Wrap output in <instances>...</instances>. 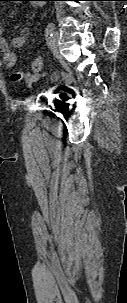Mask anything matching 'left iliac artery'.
Returning <instances> with one entry per match:
<instances>
[{
	"label": "left iliac artery",
	"instance_id": "44dca946",
	"mask_svg": "<svg viewBox=\"0 0 127 303\" xmlns=\"http://www.w3.org/2000/svg\"><path fill=\"white\" fill-rule=\"evenodd\" d=\"M55 29V24L53 22L49 23L45 30V37L46 39L50 40L52 37L53 31Z\"/></svg>",
	"mask_w": 127,
	"mask_h": 303
}]
</instances>
